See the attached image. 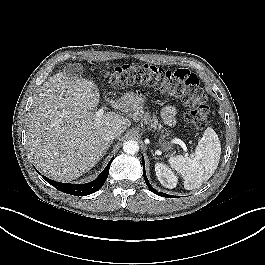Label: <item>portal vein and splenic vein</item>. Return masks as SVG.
I'll list each match as a JSON object with an SVG mask.
<instances>
[{"label":"portal vein and splenic vein","instance_id":"obj_1","mask_svg":"<svg viewBox=\"0 0 265 265\" xmlns=\"http://www.w3.org/2000/svg\"><path fill=\"white\" fill-rule=\"evenodd\" d=\"M104 114V108L99 109L96 113H95V117L96 120H100L101 116Z\"/></svg>","mask_w":265,"mask_h":265}]
</instances>
